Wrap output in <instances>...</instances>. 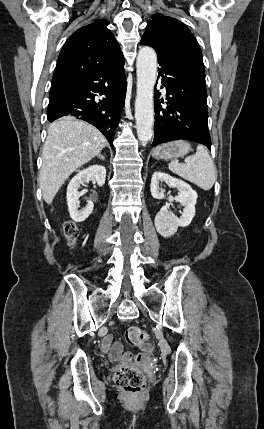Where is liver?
<instances>
[{
    "instance_id": "1",
    "label": "liver",
    "mask_w": 264,
    "mask_h": 429,
    "mask_svg": "<svg viewBox=\"0 0 264 429\" xmlns=\"http://www.w3.org/2000/svg\"><path fill=\"white\" fill-rule=\"evenodd\" d=\"M106 145L104 135L81 120L68 116L50 124L39 174L45 202L51 204L65 180L97 156Z\"/></svg>"
}]
</instances>
